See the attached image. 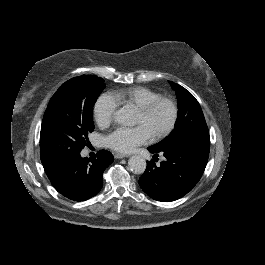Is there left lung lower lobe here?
<instances>
[{
  "label": "left lung lower lobe",
  "mask_w": 265,
  "mask_h": 265,
  "mask_svg": "<svg viewBox=\"0 0 265 265\" xmlns=\"http://www.w3.org/2000/svg\"><path fill=\"white\" fill-rule=\"evenodd\" d=\"M148 149L154 156L163 152L166 160L160 165L147 161L139 185L151 198L168 202L183 197L198 183L208 161L210 141L190 140L160 151Z\"/></svg>",
  "instance_id": "0a47b994"
}]
</instances>
